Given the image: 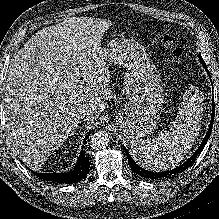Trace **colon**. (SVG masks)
Wrapping results in <instances>:
<instances>
[{
    "instance_id": "obj_1",
    "label": "colon",
    "mask_w": 219,
    "mask_h": 219,
    "mask_svg": "<svg viewBox=\"0 0 219 219\" xmlns=\"http://www.w3.org/2000/svg\"><path fill=\"white\" fill-rule=\"evenodd\" d=\"M151 40L153 43L169 51L171 60L174 64H182L184 60V50L173 38L167 35L152 34Z\"/></svg>"
}]
</instances>
